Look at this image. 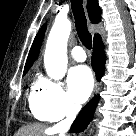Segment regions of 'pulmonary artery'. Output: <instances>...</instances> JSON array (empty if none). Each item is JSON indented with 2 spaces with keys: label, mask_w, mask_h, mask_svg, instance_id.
Wrapping results in <instances>:
<instances>
[{
  "label": "pulmonary artery",
  "mask_w": 136,
  "mask_h": 136,
  "mask_svg": "<svg viewBox=\"0 0 136 136\" xmlns=\"http://www.w3.org/2000/svg\"><path fill=\"white\" fill-rule=\"evenodd\" d=\"M72 57L77 61H85L86 54L80 46H76L71 50Z\"/></svg>",
  "instance_id": "obj_1"
}]
</instances>
